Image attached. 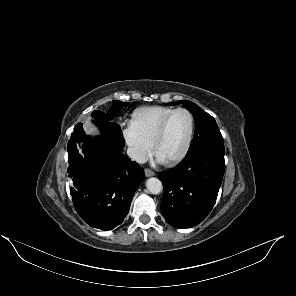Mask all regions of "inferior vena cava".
<instances>
[{
  "mask_svg": "<svg viewBox=\"0 0 296 296\" xmlns=\"http://www.w3.org/2000/svg\"><path fill=\"white\" fill-rule=\"evenodd\" d=\"M127 154L129 156V158L136 161L137 163L142 164L147 161L146 155L142 151H140L136 148L129 147L127 149Z\"/></svg>",
  "mask_w": 296,
  "mask_h": 296,
  "instance_id": "obj_1",
  "label": "inferior vena cava"
}]
</instances>
